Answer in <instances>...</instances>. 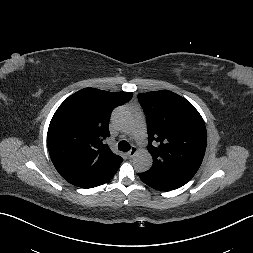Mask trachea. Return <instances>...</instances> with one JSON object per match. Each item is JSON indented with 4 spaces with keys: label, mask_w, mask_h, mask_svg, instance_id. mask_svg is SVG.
<instances>
[{
    "label": "trachea",
    "mask_w": 253,
    "mask_h": 253,
    "mask_svg": "<svg viewBox=\"0 0 253 253\" xmlns=\"http://www.w3.org/2000/svg\"><path fill=\"white\" fill-rule=\"evenodd\" d=\"M130 144L127 142V141H120L119 144H118V149L120 151H129L130 150Z\"/></svg>",
    "instance_id": "trachea-1"
}]
</instances>
